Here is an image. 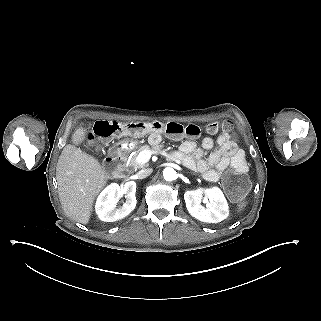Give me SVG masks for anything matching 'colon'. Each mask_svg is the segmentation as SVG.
<instances>
[{
  "label": "colon",
  "mask_w": 321,
  "mask_h": 321,
  "mask_svg": "<svg viewBox=\"0 0 321 321\" xmlns=\"http://www.w3.org/2000/svg\"><path fill=\"white\" fill-rule=\"evenodd\" d=\"M232 129L231 123L227 120L213 121L207 124L205 130L210 134L219 131L229 132ZM147 132H164L171 137L187 136L197 138L201 134V129L195 124L181 125L176 122L163 123L153 122H127L118 121H97L92 131L88 135V140L92 143L107 140L121 135H142ZM222 186L227 195L237 201L243 199L250 187V180L245 171L234 170L224 175Z\"/></svg>",
  "instance_id": "colon-1"
}]
</instances>
